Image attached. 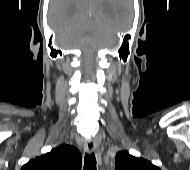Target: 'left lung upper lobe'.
Segmentation results:
<instances>
[{
    "label": "left lung upper lobe",
    "mask_w": 190,
    "mask_h": 170,
    "mask_svg": "<svg viewBox=\"0 0 190 170\" xmlns=\"http://www.w3.org/2000/svg\"><path fill=\"white\" fill-rule=\"evenodd\" d=\"M116 170H160L150 161L143 158H136L126 151L116 154Z\"/></svg>",
    "instance_id": "5c2ea615"
}]
</instances>
